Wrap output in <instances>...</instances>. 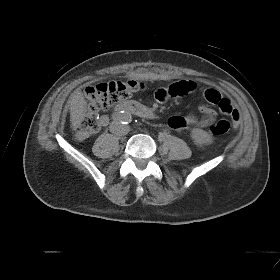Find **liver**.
Listing matches in <instances>:
<instances>
[{"label": "liver", "mask_w": 280, "mask_h": 280, "mask_svg": "<svg viewBox=\"0 0 280 280\" xmlns=\"http://www.w3.org/2000/svg\"><path fill=\"white\" fill-rule=\"evenodd\" d=\"M86 101L81 91L76 90L70 100V121L73 130H76L85 116Z\"/></svg>", "instance_id": "obj_1"}]
</instances>
